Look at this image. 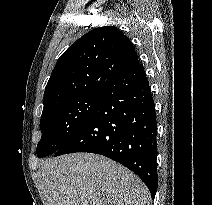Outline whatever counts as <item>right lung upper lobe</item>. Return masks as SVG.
Segmentation results:
<instances>
[{
    "label": "right lung upper lobe",
    "mask_w": 212,
    "mask_h": 205,
    "mask_svg": "<svg viewBox=\"0 0 212 205\" xmlns=\"http://www.w3.org/2000/svg\"><path fill=\"white\" fill-rule=\"evenodd\" d=\"M137 63L135 48L119 29L105 26L91 30L58 59L45 87L42 113L69 99L101 92Z\"/></svg>",
    "instance_id": "right-lung-upper-lobe-1"
}]
</instances>
